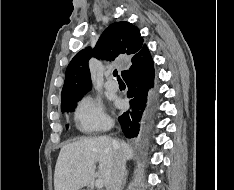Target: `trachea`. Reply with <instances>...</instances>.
Returning a JSON list of instances; mask_svg holds the SVG:
<instances>
[{
	"mask_svg": "<svg viewBox=\"0 0 234 190\" xmlns=\"http://www.w3.org/2000/svg\"><path fill=\"white\" fill-rule=\"evenodd\" d=\"M113 76L116 77L118 81L121 80L120 76L118 75V71L116 69L113 71Z\"/></svg>",
	"mask_w": 234,
	"mask_h": 190,
	"instance_id": "trachea-1",
	"label": "trachea"
}]
</instances>
